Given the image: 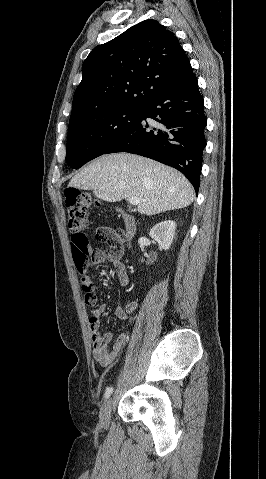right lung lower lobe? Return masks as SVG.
<instances>
[{
    "label": "right lung lower lobe",
    "instance_id": "right-lung-lower-lobe-1",
    "mask_svg": "<svg viewBox=\"0 0 266 479\" xmlns=\"http://www.w3.org/2000/svg\"><path fill=\"white\" fill-rule=\"evenodd\" d=\"M195 74L153 95L143 106L140 120L104 154L129 152L181 171L196 194L200 186L207 119ZM151 118L158 124L144 122Z\"/></svg>",
    "mask_w": 266,
    "mask_h": 479
}]
</instances>
